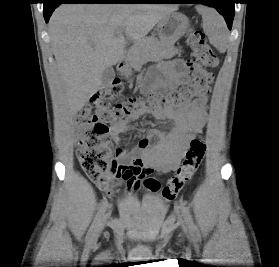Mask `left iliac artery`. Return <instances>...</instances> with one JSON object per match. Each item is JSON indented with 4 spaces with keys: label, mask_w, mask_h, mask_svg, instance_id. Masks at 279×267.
Wrapping results in <instances>:
<instances>
[{
    "label": "left iliac artery",
    "mask_w": 279,
    "mask_h": 267,
    "mask_svg": "<svg viewBox=\"0 0 279 267\" xmlns=\"http://www.w3.org/2000/svg\"><path fill=\"white\" fill-rule=\"evenodd\" d=\"M182 213L185 217V220H186L189 228L192 230V232H194L197 236H199L198 229L193 222V219H192V216L189 212V209L187 207H182Z\"/></svg>",
    "instance_id": "left-iliac-artery-1"
}]
</instances>
